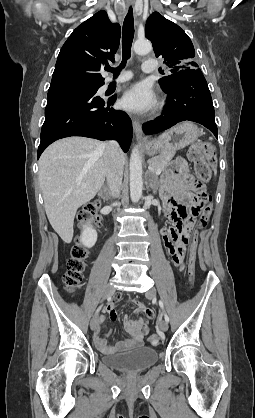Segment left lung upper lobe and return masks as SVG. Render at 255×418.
Listing matches in <instances>:
<instances>
[{
  "mask_svg": "<svg viewBox=\"0 0 255 418\" xmlns=\"http://www.w3.org/2000/svg\"><path fill=\"white\" fill-rule=\"evenodd\" d=\"M145 36L152 42L156 57H162L169 68L170 74L159 79L166 93L182 76L201 71L194 61L195 50L190 38L178 25L158 12L148 18Z\"/></svg>",
  "mask_w": 255,
  "mask_h": 418,
  "instance_id": "1",
  "label": "left lung upper lobe"
}]
</instances>
